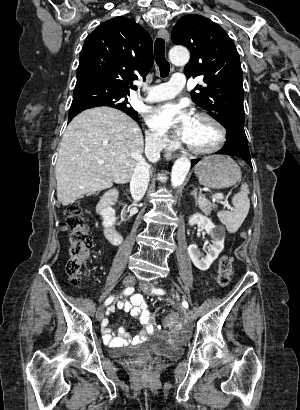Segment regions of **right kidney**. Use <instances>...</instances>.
Returning <instances> with one entry per match:
<instances>
[{
  "mask_svg": "<svg viewBox=\"0 0 300 410\" xmlns=\"http://www.w3.org/2000/svg\"><path fill=\"white\" fill-rule=\"evenodd\" d=\"M103 218V226L105 228L112 227L116 221L115 211L110 206H105L100 212Z\"/></svg>",
  "mask_w": 300,
  "mask_h": 410,
  "instance_id": "ca27d5eb",
  "label": "right kidney"
}]
</instances>
